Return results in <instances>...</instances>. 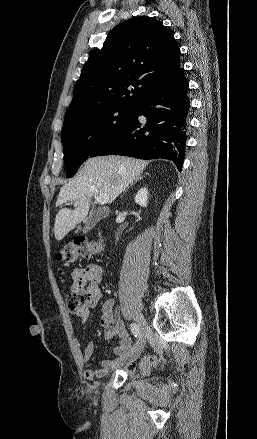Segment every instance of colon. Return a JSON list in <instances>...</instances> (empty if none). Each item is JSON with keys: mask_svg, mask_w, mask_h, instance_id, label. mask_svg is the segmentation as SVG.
<instances>
[{"mask_svg": "<svg viewBox=\"0 0 257 439\" xmlns=\"http://www.w3.org/2000/svg\"><path fill=\"white\" fill-rule=\"evenodd\" d=\"M102 251V246L98 243L86 239H79L73 244L66 245L58 254V260L74 262L79 258H90ZM64 303L66 308L72 313H79L84 308L85 296L81 292L71 291L65 294ZM157 363L154 356L147 357L142 364L137 366L135 363L129 364L127 370L133 374L140 369L147 372L151 365Z\"/></svg>", "mask_w": 257, "mask_h": 439, "instance_id": "5ec220e1", "label": "colon"}]
</instances>
